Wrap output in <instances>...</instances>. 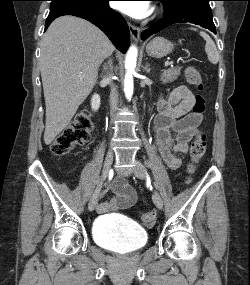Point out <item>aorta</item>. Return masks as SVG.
<instances>
[{"label":"aorta","instance_id":"762f6f07","mask_svg":"<svg viewBox=\"0 0 250 285\" xmlns=\"http://www.w3.org/2000/svg\"><path fill=\"white\" fill-rule=\"evenodd\" d=\"M137 48L135 46H131L127 52L126 58H125V68H126V74L124 79V92L127 99H131L133 95V74L136 67V61H137Z\"/></svg>","mask_w":250,"mask_h":285}]
</instances>
